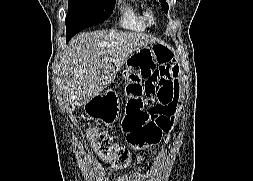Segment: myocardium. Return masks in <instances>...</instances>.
I'll return each mask as SVG.
<instances>
[{"instance_id": "1", "label": "myocardium", "mask_w": 253, "mask_h": 181, "mask_svg": "<svg viewBox=\"0 0 253 181\" xmlns=\"http://www.w3.org/2000/svg\"><path fill=\"white\" fill-rule=\"evenodd\" d=\"M146 23L151 25L155 22V15L151 10L145 12Z\"/></svg>"}]
</instances>
